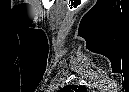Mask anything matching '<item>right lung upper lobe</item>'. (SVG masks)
<instances>
[{
  "mask_svg": "<svg viewBox=\"0 0 129 92\" xmlns=\"http://www.w3.org/2000/svg\"><path fill=\"white\" fill-rule=\"evenodd\" d=\"M81 90V87L76 85L64 86L59 92H70L71 90Z\"/></svg>",
  "mask_w": 129,
  "mask_h": 92,
  "instance_id": "right-lung-upper-lobe-1",
  "label": "right lung upper lobe"
}]
</instances>
